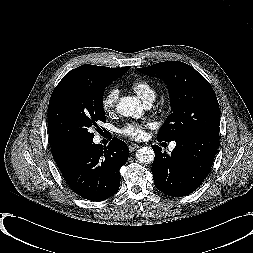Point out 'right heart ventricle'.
Listing matches in <instances>:
<instances>
[{"instance_id":"e07e8e85","label":"right heart ventricle","mask_w":253,"mask_h":253,"mask_svg":"<svg viewBox=\"0 0 253 253\" xmlns=\"http://www.w3.org/2000/svg\"><path fill=\"white\" fill-rule=\"evenodd\" d=\"M132 90L146 104L153 102L157 96V91L153 85L145 80H137L131 85Z\"/></svg>"}]
</instances>
